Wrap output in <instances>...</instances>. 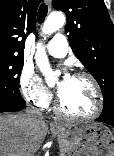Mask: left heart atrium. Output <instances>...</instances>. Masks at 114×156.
I'll list each match as a JSON object with an SVG mask.
<instances>
[{
	"label": "left heart atrium",
	"instance_id": "1",
	"mask_svg": "<svg viewBox=\"0 0 114 156\" xmlns=\"http://www.w3.org/2000/svg\"><path fill=\"white\" fill-rule=\"evenodd\" d=\"M70 76L68 74H65L60 81V84L57 87V92L60 94L63 90L64 85L70 80Z\"/></svg>",
	"mask_w": 114,
	"mask_h": 156
}]
</instances>
